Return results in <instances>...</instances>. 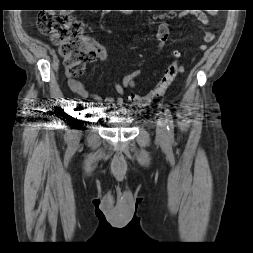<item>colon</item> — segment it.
Returning <instances> with one entry per match:
<instances>
[{"label":"colon","instance_id":"colon-1","mask_svg":"<svg viewBox=\"0 0 253 253\" xmlns=\"http://www.w3.org/2000/svg\"><path fill=\"white\" fill-rule=\"evenodd\" d=\"M42 33L51 35L59 46V53L64 58L67 71L73 76H80L88 62L95 58L91 42L83 33V25L64 11L44 12L38 18ZM183 67L173 62L166 69L159 82L144 95L133 94L130 101L137 106H148L162 97L173 84Z\"/></svg>","mask_w":253,"mask_h":253}]
</instances>
